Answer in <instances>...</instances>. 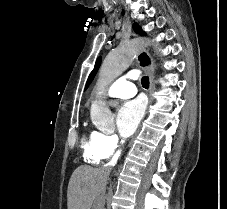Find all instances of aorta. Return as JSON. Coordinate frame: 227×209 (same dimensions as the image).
<instances>
[{
	"instance_id": "1",
	"label": "aorta",
	"mask_w": 227,
	"mask_h": 209,
	"mask_svg": "<svg viewBox=\"0 0 227 209\" xmlns=\"http://www.w3.org/2000/svg\"><path fill=\"white\" fill-rule=\"evenodd\" d=\"M147 43L144 39L131 40L123 43L107 55L99 73V94L105 91L111 82L130 66L138 51ZM108 113L109 110L100 100L91 105L90 114L93 120L100 115Z\"/></svg>"
}]
</instances>
